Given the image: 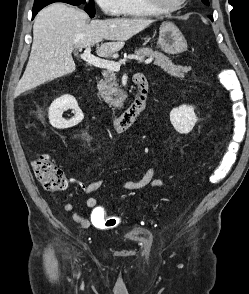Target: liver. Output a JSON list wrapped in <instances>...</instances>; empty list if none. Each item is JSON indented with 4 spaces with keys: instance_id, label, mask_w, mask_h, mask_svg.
I'll return each instance as SVG.
<instances>
[{
    "instance_id": "liver-1",
    "label": "liver",
    "mask_w": 249,
    "mask_h": 294,
    "mask_svg": "<svg viewBox=\"0 0 249 294\" xmlns=\"http://www.w3.org/2000/svg\"><path fill=\"white\" fill-rule=\"evenodd\" d=\"M82 10L64 3H54L42 9L33 25V43L28 64L15 95L31 90L75 71L74 48L98 44L96 52L107 57L123 48L124 42L147 28L152 20L114 18L92 20Z\"/></svg>"
}]
</instances>
